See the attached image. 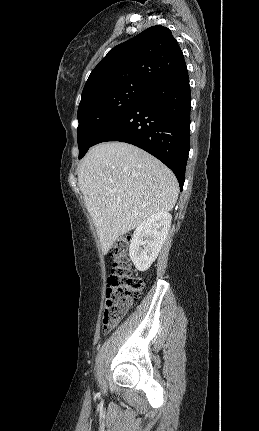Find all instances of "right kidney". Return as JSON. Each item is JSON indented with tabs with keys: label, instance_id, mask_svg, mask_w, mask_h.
Returning a JSON list of instances; mask_svg holds the SVG:
<instances>
[{
	"label": "right kidney",
	"instance_id": "ca27d5eb",
	"mask_svg": "<svg viewBox=\"0 0 259 431\" xmlns=\"http://www.w3.org/2000/svg\"><path fill=\"white\" fill-rule=\"evenodd\" d=\"M169 212L150 215L135 229L129 248V256L139 271H146L157 258L170 229Z\"/></svg>",
	"mask_w": 259,
	"mask_h": 431
}]
</instances>
